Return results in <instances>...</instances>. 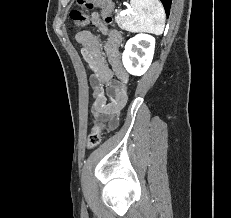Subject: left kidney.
<instances>
[{
	"label": "left kidney",
	"mask_w": 231,
	"mask_h": 218,
	"mask_svg": "<svg viewBox=\"0 0 231 218\" xmlns=\"http://www.w3.org/2000/svg\"><path fill=\"white\" fill-rule=\"evenodd\" d=\"M154 49L155 38L151 35L140 33L129 39L122 55L126 70L132 75H143L151 65Z\"/></svg>",
	"instance_id": "1"
}]
</instances>
